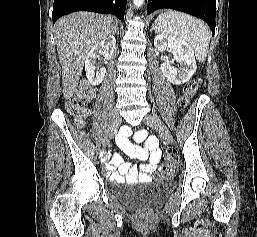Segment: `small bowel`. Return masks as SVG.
I'll use <instances>...</instances> for the list:
<instances>
[{
	"label": "small bowel",
	"mask_w": 257,
	"mask_h": 237,
	"mask_svg": "<svg viewBox=\"0 0 257 237\" xmlns=\"http://www.w3.org/2000/svg\"><path fill=\"white\" fill-rule=\"evenodd\" d=\"M129 131L123 129L117 137L118 144L133 158L147 160L146 164L136 167L123 160L119 153L113 154L106 165L107 176L114 182L128 181L148 182L156 170L160 160L161 151L158 148V140L148 136L145 131H139L133 137V142L128 139ZM143 143V146H139Z\"/></svg>",
	"instance_id": "1"
}]
</instances>
